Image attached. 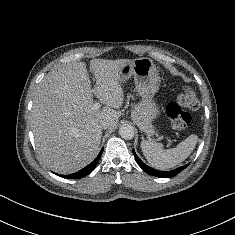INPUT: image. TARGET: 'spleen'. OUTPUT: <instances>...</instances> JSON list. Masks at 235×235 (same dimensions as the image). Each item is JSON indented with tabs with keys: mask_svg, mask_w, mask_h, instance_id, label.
I'll list each match as a JSON object with an SVG mask.
<instances>
[{
	"mask_svg": "<svg viewBox=\"0 0 235 235\" xmlns=\"http://www.w3.org/2000/svg\"><path fill=\"white\" fill-rule=\"evenodd\" d=\"M198 141L197 135H190L175 148L164 150L162 144L142 141L141 149L148 163L160 170H167L183 162L194 150Z\"/></svg>",
	"mask_w": 235,
	"mask_h": 235,
	"instance_id": "obj_1",
	"label": "spleen"
}]
</instances>
